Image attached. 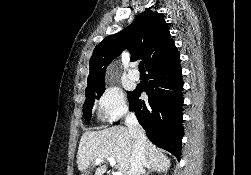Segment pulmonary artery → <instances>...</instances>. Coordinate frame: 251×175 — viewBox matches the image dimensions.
Wrapping results in <instances>:
<instances>
[{
  "mask_svg": "<svg viewBox=\"0 0 251 175\" xmlns=\"http://www.w3.org/2000/svg\"><path fill=\"white\" fill-rule=\"evenodd\" d=\"M138 77H139L138 75H134L133 76L134 79H138Z\"/></svg>",
  "mask_w": 251,
  "mask_h": 175,
  "instance_id": "e3ab8cb5",
  "label": "pulmonary artery"
}]
</instances>
